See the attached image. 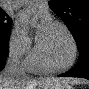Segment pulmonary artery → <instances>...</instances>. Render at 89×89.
<instances>
[{"instance_id": "1", "label": "pulmonary artery", "mask_w": 89, "mask_h": 89, "mask_svg": "<svg viewBox=\"0 0 89 89\" xmlns=\"http://www.w3.org/2000/svg\"><path fill=\"white\" fill-rule=\"evenodd\" d=\"M32 2H42V1H32Z\"/></svg>"}]
</instances>
